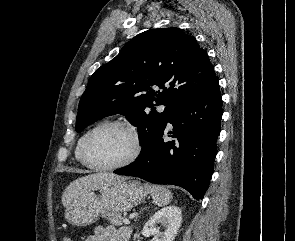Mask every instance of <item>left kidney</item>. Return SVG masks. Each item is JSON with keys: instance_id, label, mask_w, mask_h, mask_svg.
<instances>
[{"instance_id": "1", "label": "left kidney", "mask_w": 295, "mask_h": 241, "mask_svg": "<svg viewBox=\"0 0 295 241\" xmlns=\"http://www.w3.org/2000/svg\"><path fill=\"white\" fill-rule=\"evenodd\" d=\"M181 222V209L173 205L166 206L146 222L141 233L145 237L153 236L155 241H174ZM161 227L163 230H160Z\"/></svg>"}]
</instances>
